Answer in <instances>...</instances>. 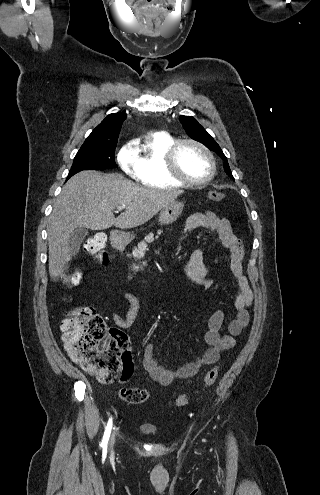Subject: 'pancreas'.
I'll use <instances>...</instances> for the list:
<instances>
[{"label":"pancreas","instance_id":"1","mask_svg":"<svg viewBox=\"0 0 320 495\" xmlns=\"http://www.w3.org/2000/svg\"><path fill=\"white\" fill-rule=\"evenodd\" d=\"M161 232H162L161 230H158V234H160ZM155 238L157 239L158 236L154 237L153 233H149L148 235H146L145 240L140 242L138 246L133 249L132 252L133 257L138 260L142 258L145 254V251L147 250L148 244L153 242ZM133 270H137V267L134 266Z\"/></svg>","mask_w":320,"mask_h":495}]
</instances>
